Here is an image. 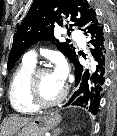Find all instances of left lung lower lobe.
Wrapping results in <instances>:
<instances>
[{"label":"left lung lower lobe","mask_w":117,"mask_h":136,"mask_svg":"<svg viewBox=\"0 0 117 136\" xmlns=\"http://www.w3.org/2000/svg\"><path fill=\"white\" fill-rule=\"evenodd\" d=\"M88 36L91 39L90 43L93 47L91 50L94 65L90 70L86 69L83 72V67L79 64L77 58L74 57L71 60L75 67L76 83L78 84L80 81L81 82L79 89L74 93L70 101L65 106H81L92 114H96L108 69L109 53L102 25L91 29V31L88 32Z\"/></svg>","instance_id":"1"}]
</instances>
